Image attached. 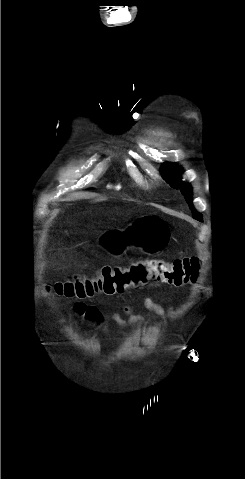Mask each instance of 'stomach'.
<instances>
[{"instance_id": "obj_1", "label": "stomach", "mask_w": 245, "mask_h": 479, "mask_svg": "<svg viewBox=\"0 0 245 479\" xmlns=\"http://www.w3.org/2000/svg\"><path fill=\"white\" fill-rule=\"evenodd\" d=\"M170 240L167 222L157 215H145L123 230L105 232L100 245L115 257L121 256L129 248H138L148 254L162 251Z\"/></svg>"}]
</instances>
